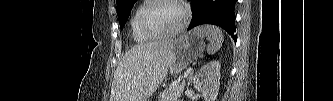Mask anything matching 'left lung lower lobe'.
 Instances as JSON below:
<instances>
[{
	"instance_id": "left-lung-lower-lobe-1",
	"label": "left lung lower lobe",
	"mask_w": 333,
	"mask_h": 101,
	"mask_svg": "<svg viewBox=\"0 0 333 101\" xmlns=\"http://www.w3.org/2000/svg\"><path fill=\"white\" fill-rule=\"evenodd\" d=\"M190 1L193 18L188 30L201 24H213L223 28L236 41L234 8L237 0Z\"/></svg>"
}]
</instances>
